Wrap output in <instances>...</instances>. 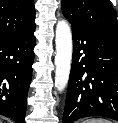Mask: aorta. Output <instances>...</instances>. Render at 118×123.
I'll return each instance as SVG.
<instances>
[{"label":"aorta","instance_id":"762f6f07","mask_svg":"<svg viewBox=\"0 0 118 123\" xmlns=\"http://www.w3.org/2000/svg\"><path fill=\"white\" fill-rule=\"evenodd\" d=\"M55 42V87L63 92L69 81L73 52L72 33L66 20L58 21Z\"/></svg>","mask_w":118,"mask_h":123}]
</instances>
